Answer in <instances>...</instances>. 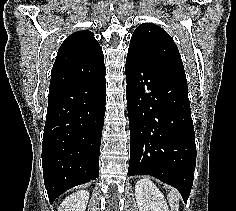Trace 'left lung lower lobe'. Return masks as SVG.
I'll use <instances>...</instances> for the list:
<instances>
[{"mask_svg": "<svg viewBox=\"0 0 236 211\" xmlns=\"http://www.w3.org/2000/svg\"><path fill=\"white\" fill-rule=\"evenodd\" d=\"M130 176L147 174L173 187L187 202L196 145L187 80L136 58L126 59Z\"/></svg>", "mask_w": 236, "mask_h": 211, "instance_id": "0a47b994", "label": "left lung lower lobe"}]
</instances>
